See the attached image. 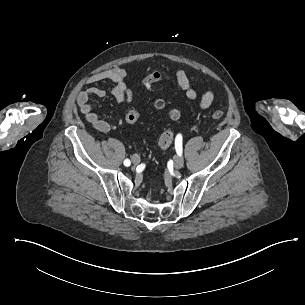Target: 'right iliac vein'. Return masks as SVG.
<instances>
[{
	"label": "right iliac vein",
	"instance_id": "1",
	"mask_svg": "<svg viewBox=\"0 0 305 305\" xmlns=\"http://www.w3.org/2000/svg\"><path fill=\"white\" fill-rule=\"evenodd\" d=\"M140 160L141 159L137 154H135L131 157V161L134 165H138L140 163Z\"/></svg>",
	"mask_w": 305,
	"mask_h": 305
}]
</instances>
